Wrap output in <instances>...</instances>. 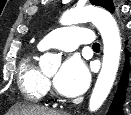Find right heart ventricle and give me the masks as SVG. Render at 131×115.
<instances>
[{"mask_svg": "<svg viewBox=\"0 0 131 115\" xmlns=\"http://www.w3.org/2000/svg\"><path fill=\"white\" fill-rule=\"evenodd\" d=\"M39 50H41L38 47ZM36 53H29L19 63L17 83L22 96L32 102H38L46 94V80L36 61Z\"/></svg>", "mask_w": 131, "mask_h": 115, "instance_id": "1", "label": "right heart ventricle"}]
</instances>
